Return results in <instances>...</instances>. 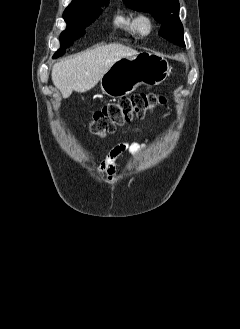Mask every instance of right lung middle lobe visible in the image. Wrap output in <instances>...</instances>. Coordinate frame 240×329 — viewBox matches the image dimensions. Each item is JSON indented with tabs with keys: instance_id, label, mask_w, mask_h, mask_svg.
<instances>
[{
	"instance_id": "right-lung-middle-lobe-1",
	"label": "right lung middle lobe",
	"mask_w": 240,
	"mask_h": 329,
	"mask_svg": "<svg viewBox=\"0 0 240 329\" xmlns=\"http://www.w3.org/2000/svg\"><path fill=\"white\" fill-rule=\"evenodd\" d=\"M108 1H100L87 7L66 8L63 18L67 23V28L60 35L61 48L55 53L53 58L63 55L66 47L84 35L85 27L99 16L101 12L99 6L107 4Z\"/></svg>"
}]
</instances>
